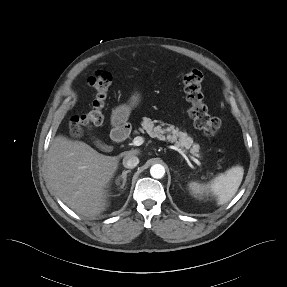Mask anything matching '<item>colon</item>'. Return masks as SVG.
I'll return each instance as SVG.
<instances>
[{"mask_svg": "<svg viewBox=\"0 0 287 287\" xmlns=\"http://www.w3.org/2000/svg\"><path fill=\"white\" fill-rule=\"evenodd\" d=\"M88 83L95 88L96 95L92 102V109L80 116H73L69 120V129L72 135L81 136L82 127L99 126L104 121V108L113 82L107 71H98L87 78ZM203 74L198 70H189L182 76V84L186 100L190 106L188 115L193 126L205 136H214L221 128V120L210 114L205 103L202 89Z\"/></svg>", "mask_w": 287, "mask_h": 287, "instance_id": "1", "label": "colon"}]
</instances>
